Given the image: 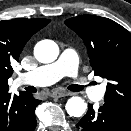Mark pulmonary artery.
<instances>
[{"label": "pulmonary artery", "mask_w": 131, "mask_h": 131, "mask_svg": "<svg viewBox=\"0 0 131 131\" xmlns=\"http://www.w3.org/2000/svg\"><path fill=\"white\" fill-rule=\"evenodd\" d=\"M77 73L78 55L74 49L67 48L57 61L20 74L18 81L21 84L45 86L57 82L64 76H70L76 78V84L82 86V91L90 99L100 100L105 93V86H91L85 79L77 78Z\"/></svg>", "instance_id": "1"}]
</instances>
